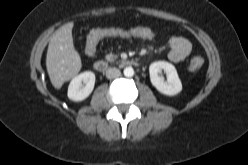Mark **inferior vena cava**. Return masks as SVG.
<instances>
[{
	"mask_svg": "<svg viewBox=\"0 0 248 165\" xmlns=\"http://www.w3.org/2000/svg\"><path fill=\"white\" fill-rule=\"evenodd\" d=\"M121 75V72L119 69L117 68H109L107 71H106V77L108 79H114V78H117Z\"/></svg>",
	"mask_w": 248,
	"mask_h": 165,
	"instance_id": "602c4592",
	"label": "inferior vena cava"
}]
</instances>
